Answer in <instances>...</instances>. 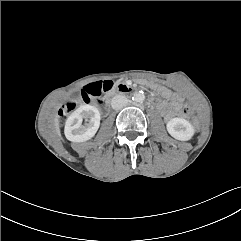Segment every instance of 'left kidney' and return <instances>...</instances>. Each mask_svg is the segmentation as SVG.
Wrapping results in <instances>:
<instances>
[{"label":"left kidney","instance_id":"1","mask_svg":"<svg viewBox=\"0 0 241 241\" xmlns=\"http://www.w3.org/2000/svg\"><path fill=\"white\" fill-rule=\"evenodd\" d=\"M167 131L172 137L181 141L190 140L195 133L192 124L183 118H173L168 121Z\"/></svg>","mask_w":241,"mask_h":241}]
</instances>
